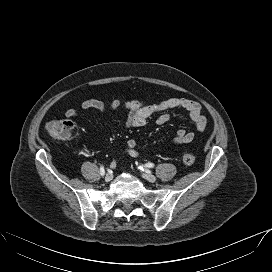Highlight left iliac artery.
Instances as JSON below:
<instances>
[{
  "label": "left iliac artery",
  "mask_w": 272,
  "mask_h": 272,
  "mask_svg": "<svg viewBox=\"0 0 272 272\" xmlns=\"http://www.w3.org/2000/svg\"><path fill=\"white\" fill-rule=\"evenodd\" d=\"M144 167L145 168H152V167H154V164L149 162V163H147L145 165L139 166V169L144 170Z\"/></svg>",
  "instance_id": "1"
}]
</instances>
